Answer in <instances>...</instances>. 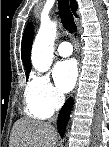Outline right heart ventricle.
<instances>
[{"instance_id":"right-heart-ventricle-1","label":"right heart ventricle","mask_w":109,"mask_h":147,"mask_svg":"<svg viewBox=\"0 0 109 147\" xmlns=\"http://www.w3.org/2000/svg\"><path fill=\"white\" fill-rule=\"evenodd\" d=\"M25 105L27 112L35 118H46L50 116L49 114H46L39 106L31 102L29 99H26Z\"/></svg>"}]
</instances>
